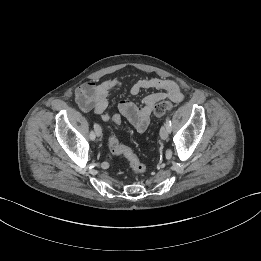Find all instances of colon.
<instances>
[{"mask_svg": "<svg viewBox=\"0 0 261 261\" xmlns=\"http://www.w3.org/2000/svg\"><path fill=\"white\" fill-rule=\"evenodd\" d=\"M172 108L173 104L171 102L163 101L154 106L153 113L156 117H161ZM112 121L114 124H119L121 117H114ZM108 148L111 154L124 156L128 160L133 172L143 173L145 171V166L139 157L129 147L120 144L114 136L108 138Z\"/></svg>", "mask_w": 261, "mask_h": 261, "instance_id": "1", "label": "colon"}]
</instances>
